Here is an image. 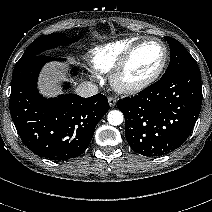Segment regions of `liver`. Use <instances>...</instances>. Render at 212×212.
Returning <instances> with one entry per match:
<instances>
[{
  "label": "liver",
  "instance_id": "1",
  "mask_svg": "<svg viewBox=\"0 0 212 212\" xmlns=\"http://www.w3.org/2000/svg\"><path fill=\"white\" fill-rule=\"evenodd\" d=\"M63 79V68L48 64L40 75L39 88L43 95L54 96L60 93V82Z\"/></svg>",
  "mask_w": 212,
  "mask_h": 212
}]
</instances>
